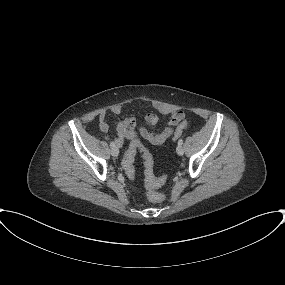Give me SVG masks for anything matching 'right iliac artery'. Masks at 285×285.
<instances>
[{"label":"right iliac artery","mask_w":285,"mask_h":285,"mask_svg":"<svg viewBox=\"0 0 285 285\" xmlns=\"http://www.w3.org/2000/svg\"><path fill=\"white\" fill-rule=\"evenodd\" d=\"M110 146L113 148V147H115V143L114 142H111L110 143Z\"/></svg>","instance_id":"82829eb1"}]
</instances>
